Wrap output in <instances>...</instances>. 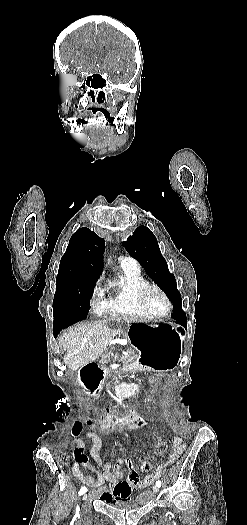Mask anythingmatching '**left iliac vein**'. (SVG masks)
<instances>
[{
	"mask_svg": "<svg viewBox=\"0 0 247 525\" xmlns=\"http://www.w3.org/2000/svg\"><path fill=\"white\" fill-rule=\"evenodd\" d=\"M153 491H154L155 493H158V491H159V487H158L157 485L154 486V487H153Z\"/></svg>",
	"mask_w": 247,
	"mask_h": 525,
	"instance_id": "1",
	"label": "left iliac vein"
}]
</instances>
